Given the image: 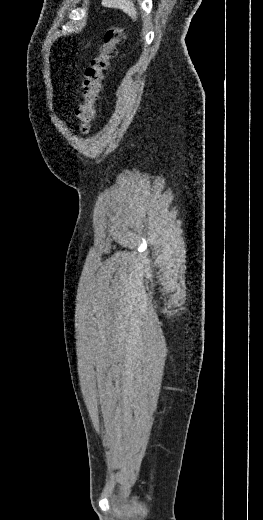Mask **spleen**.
<instances>
[{
	"label": "spleen",
	"mask_w": 263,
	"mask_h": 520,
	"mask_svg": "<svg viewBox=\"0 0 263 520\" xmlns=\"http://www.w3.org/2000/svg\"><path fill=\"white\" fill-rule=\"evenodd\" d=\"M102 5L107 8H118L128 14L133 20L137 19V11L130 0H102Z\"/></svg>",
	"instance_id": "3e777b00"
}]
</instances>
